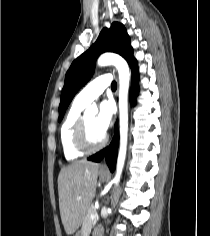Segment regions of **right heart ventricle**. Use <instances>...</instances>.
<instances>
[{
  "label": "right heart ventricle",
  "mask_w": 210,
  "mask_h": 236,
  "mask_svg": "<svg viewBox=\"0 0 210 236\" xmlns=\"http://www.w3.org/2000/svg\"><path fill=\"white\" fill-rule=\"evenodd\" d=\"M84 105L73 101L60 129V141L64 157L67 160H76L84 155V152L75 148L73 137L76 124L82 116Z\"/></svg>",
  "instance_id": "right-heart-ventricle-1"
}]
</instances>
